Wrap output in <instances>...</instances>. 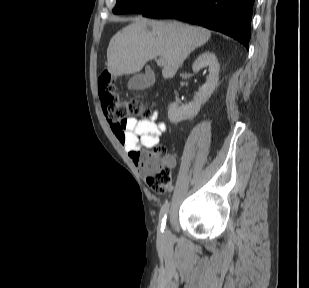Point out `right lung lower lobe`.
<instances>
[{
  "mask_svg": "<svg viewBox=\"0 0 309 288\" xmlns=\"http://www.w3.org/2000/svg\"><path fill=\"white\" fill-rule=\"evenodd\" d=\"M255 0H164L142 13L150 18H175L222 32L242 43L250 40Z\"/></svg>",
  "mask_w": 309,
  "mask_h": 288,
  "instance_id": "right-lung-lower-lobe-1",
  "label": "right lung lower lobe"
}]
</instances>
